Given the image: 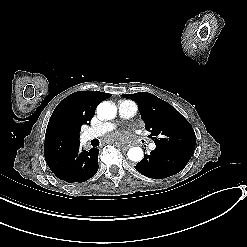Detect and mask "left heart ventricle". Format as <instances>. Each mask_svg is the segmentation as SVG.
<instances>
[{
  "label": "left heart ventricle",
  "instance_id": "b2bd125f",
  "mask_svg": "<svg viewBox=\"0 0 247 247\" xmlns=\"http://www.w3.org/2000/svg\"><path fill=\"white\" fill-rule=\"evenodd\" d=\"M119 126L126 130H134L135 126L131 121L124 120L119 123Z\"/></svg>",
  "mask_w": 247,
  "mask_h": 247
}]
</instances>
